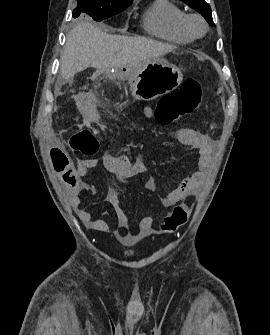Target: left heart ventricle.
I'll return each instance as SVG.
<instances>
[{"label":"left heart ventricle","mask_w":270,"mask_h":335,"mask_svg":"<svg viewBox=\"0 0 270 335\" xmlns=\"http://www.w3.org/2000/svg\"><path fill=\"white\" fill-rule=\"evenodd\" d=\"M194 28H195V30H196L197 33H201L202 32V26H201V24L195 23L194 24Z\"/></svg>","instance_id":"b2bd125f"}]
</instances>
